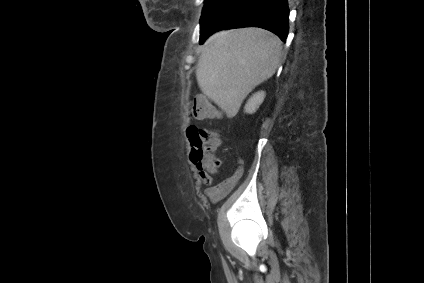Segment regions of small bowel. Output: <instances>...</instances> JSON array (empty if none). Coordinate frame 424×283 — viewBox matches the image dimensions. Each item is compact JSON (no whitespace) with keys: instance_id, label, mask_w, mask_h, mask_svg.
Returning <instances> with one entry per match:
<instances>
[{"instance_id":"small-bowel-1","label":"small bowel","mask_w":424,"mask_h":283,"mask_svg":"<svg viewBox=\"0 0 424 283\" xmlns=\"http://www.w3.org/2000/svg\"><path fill=\"white\" fill-rule=\"evenodd\" d=\"M194 164L198 181L206 186L204 194L213 202L225 198L236 187L244 171L243 160L238 159L234 173L222 182L215 184L214 176L219 171L222 164L221 160L218 159L217 167H209L201 163Z\"/></svg>"}]
</instances>
